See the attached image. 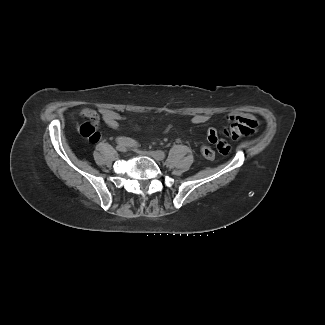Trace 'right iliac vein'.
Returning <instances> with one entry per match:
<instances>
[{"label":"right iliac vein","instance_id":"63e3f726","mask_svg":"<svg viewBox=\"0 0 325 325\" xmlns=\"http://www.w3.org/2000/svg\"><path fill=\"white\" fill-rule=\"evenodd\" d=\"M116 149L120 152H126L127 151V147H125L124 145H118L116 147Z\"/></svg>","mask_w":325,"mask_h":325}]
</instances>
